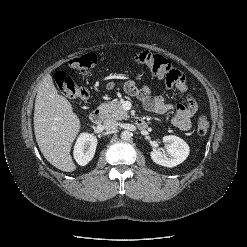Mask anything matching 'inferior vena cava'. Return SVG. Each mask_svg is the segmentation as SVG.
Instances as JSON below:
<instances>
[{"instance_id": "obj_1", "label": "inferior vena cava", "mask_w": 247, "mask_h": 247, "mask_svg": "<svg viewBox=\"0 0 247 247\" xmlns=\"http://www.w3.org/2000/svg\"><path fill=\"white\" fill-rule=\"evenodd\" d=\"M104 129L107 131H114L118 127V123L113 118H108L103 122Z\"/></svg>"}]
</instances>
